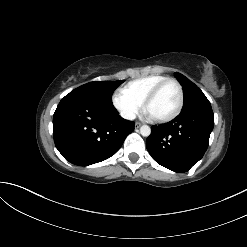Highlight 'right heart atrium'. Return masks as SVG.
I'll list each match as a JSON object with an SVG mask.
<instances>
[{
	"label": "right heart atrium",
	"instance_id": "obj_1",
	"mask_svg": "<svg viewBox=\"0 0 247 247\" xmlns=\"http://www.w3.org/2000/svg\"><path fill=\"white\" fill-rule=\"evenodd\" d=\"M111 100L115 109L127 120L135 118L141 109V102L137 101L123 90L115 91Z\"/></svg>",
	"mask_w": 247,
	"mask_h": 247
}]
</instances>
